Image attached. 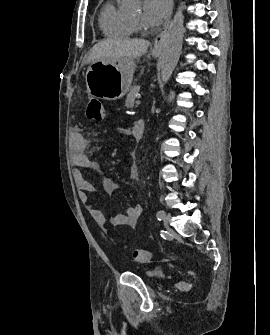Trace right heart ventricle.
I'll return each instance as SVG.
<instances>
[{
  "instance_id": "e07e8e85",
  "label": "right heart ventricle",
  "mask_w": 270,
  "mask_h": 335,
  "mask_svg": "<svg viewBox=\"0 0 270 335\" xmlns=\"http://www.w3.org/2000/svg\"><path fill=\"white\" fill-rule=\"evenodd\" d=\"M99 27L102 33L111 38H125L134 33L130 20L121 16L113 1H107L99 13Z\"/></svg>"
}]
</instances>
